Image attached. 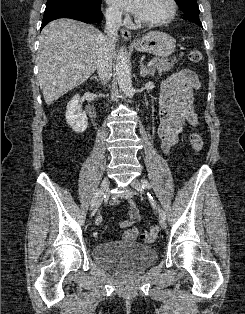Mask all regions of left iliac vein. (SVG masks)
Returning a JSON list of instances; mask_svg holds the SVG:
<instances>
[{
    "instance_id": "4c4485c4",
    "label": "left iliac vein",
    "mask_w": 245,
    "mask_h": 314,
    "mask_svg": "<svg viewBox=\"0 0 245 314\" xmlns=\"http://www.w3.org/2000/svg\"><path fill=\"white\" fill-rule=\"evenodd\" d=\"M131 186H132L133 188H135V189H136L138 192H140V193H143V192H144L140 181L137 180V179H134V180L131 182ZM159 224H160L161 228H163V229L166 228V221L162 218L161 215H159Z\"/></svg>"
}]
</instances>
